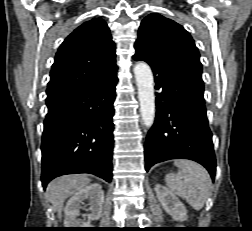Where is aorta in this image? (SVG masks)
I'll use <instances>...</instances> for the list:
<instances>
[{
	"label": "aorta",
	"instance_id": "obj_1",
	"mask_svg": "<svg viewBox=\"0 0 252 231\" xmlns=\"http://www.w3.org/2000/svg\"><path fill=\"white\" fill-rule=\"evenodd\" d=\"M134 74L138 88L142 121L147 128H151L155 119L153 74L151 68L145 62H139L135 65Z\"/></svg>",
	"mask_w": 252,
	"mask_h": 231
}]
</instances>
